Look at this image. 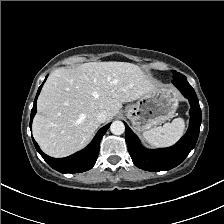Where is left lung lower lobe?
<instances>
[{
  "label": "left lung lower lobe",
  "instance_id": "0a47b994",
  "mask_svg": "<svg viewBox=\"0 0 224 224\" xmlns=\"http://www.w3.org/2000/svg\"><path fill=\"white\" fill-rule=\"evenodd\" d=\"M172 83L188 98L191 105L189 128L174 146L156 150L145 149L125 123V139L132 161L137 167L146 171H164L176 167L188 156L198 139L201 109L196 93L184 75L173 79Z\"/></svg>",
  "mask_w": 224,
  "mask_h": 224
}]
</instances>
